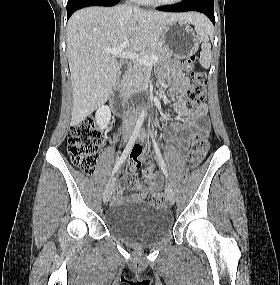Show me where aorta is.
I'll return each instance as SVG.
<instances>
[{"label":"aorta","instance_id":"aorta-1","mask_svg":"<svg viewBox=\"0 0 280 285\" xmlns=\"http://www.w3.org/2000/svg\"><path fill=\"white\" fill-rule=\"evenodd\" d=\"M141 115H142V116H146V115H147V113H146V110H145V109H143V110H142Z\"/></svg>","mask_w":280,"mask_h":285}]
</instances>
